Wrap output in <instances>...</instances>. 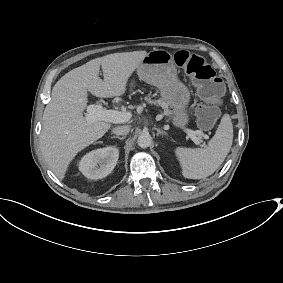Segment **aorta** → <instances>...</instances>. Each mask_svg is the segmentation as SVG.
I'll return each instance as SVG.
<instances>
[{
	"mask_svg": "<svg viewBox=\"0 0 283 283\" xmlns=\"http://www.w3.org/2000/svg\"><path fill=\"white\" fill-rule=\"evenodd\" d=\"M152 137L149 133H142L137 139V143L141 148H147L151 145Z\"/></svg>",
	"mask_w": 283,
	"mask_h": 283,
	"instance_id": "aorta-1",
	"label": "aorta"
}]
</instances>
